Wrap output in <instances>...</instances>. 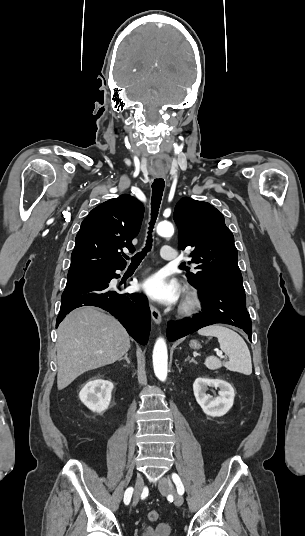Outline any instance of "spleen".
<instances>
[{
	"instance_id": "3e777b00",
	"label": "spleen",
	"mask_w": 305,
	"mask_h": 536,
	"mask_svg": "<svg viewBox=\"0 0 305 536\" xmlns=\"http://www.w3.org/2000/svg\"><path fill=\"white\" fill-rule=\"evenodd\" d=\"M198 334L200 336H215V338H218L222 352H225L229 358V362H221L219 358L209 356L204 362L208 370H219V368L225 366L230 372H240V374H245V376L252 374L250 352L239 334H236L233 330H229V328H223L221 324H214V326L202 328Z\"/></svg>"
}]
</instances>
